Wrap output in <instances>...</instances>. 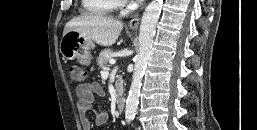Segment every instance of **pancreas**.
Listing matches in <instances>:
<instances>
[{
    "mask_svg": "<svg viewBox=\"0 0 257 130\" xmlns=\"http://www.w3.org/2000/svg\"><path fill=\"white\" fill-rule=\"evenodd\" d=\"M112 55H113V51L111 49H104L103 51L100 52L99 57L97 58V65L102 69L108 68L109 67L108 63L110 59H112ZM122 83H123L122 78L118 76V79L115 84L116 90L118 93L121 92L122 90Z\"/></svg>",
    "mask_w": 257,
    "mask_h": 130,
    "instance_id": "1",
    "label": "pancreas"
}]
</instances>
